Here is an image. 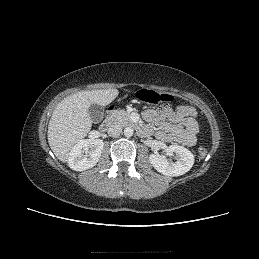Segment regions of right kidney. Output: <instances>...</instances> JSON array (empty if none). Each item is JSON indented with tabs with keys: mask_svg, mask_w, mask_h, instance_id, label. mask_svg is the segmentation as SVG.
Masks as SVG:
<instances>
[{
	"mask_svg": "<svg viewBox=\"0 0 259 259\" xmlns=\"http://www.w3.org/2000/svg\"><path fill=\"white\" fill-rule=\"evenodd\" d=\"M104 142L101 139H82L72 148L68 166L74 171H84L94 167L100 159Z\"/></svg>",
	"mask_w": 259,
	"mask_h": 259,
	"instance_id": "1",
	"label": "right kidney"
}]
</instances>
